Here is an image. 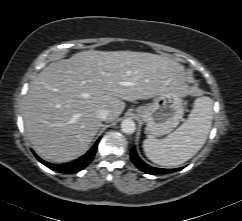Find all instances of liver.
I'll list each match as a JSON object with an SVG mask.
<instances>
[{
  "label": "liver",
  "mask_w": 242,
  "mask_h": 221,
  "mask_svg": "<svg viewBox=\"0 0 242 221\" xmlns=\"http://www.w3.org/2000/svg\"><path fill=\"white\" fill-rule=\"evenodd\" d=\"M186 73L177 61L152 53L88 50L50 63L32 81L23 108L26 136L46 161L84 155L102 126L97 112L115 121L124 101L165 92L184 95Z\"/></svg>",
  "instance_id": "1"
}]
</instances>
